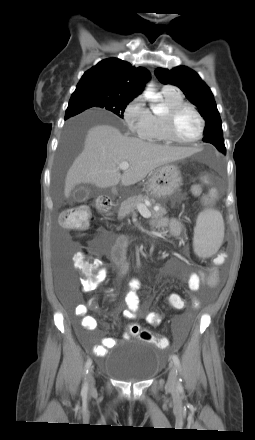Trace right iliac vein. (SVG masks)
Listing matches in <instances>:
<instances>
[{"label":"right iliac vein","mask_w":255,"mask_h":440,"mask_svg":"<svg viewBox=\"0 0 255 440\" xmlns=\"http://www.w3.org/2000/svg\"><path fill=\"white\" fill-rule=\"evenodd\" d=\"M88 382H89V389L90 391L94 390L95 387V379H94V371L93 368H90L89 374H88Z\"/></svg>","instance_id":"right-iliac-vein-1"}]
</instances>
